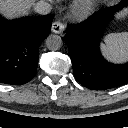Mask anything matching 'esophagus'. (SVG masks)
I'll use <instances>...</instances> for the list:
<instances>
[{"label":"esophagus","mask_w":128,"mask_h":128,"mask_svg":"<svg viewBox=\"0 0 128 128\" xmlns=\"http://www.w3.org/2000/svg\"><path fill=\"white\" fill-rule=\"evenodd\" d=\"M65 30V25L60 21H55L52 23V32L61 34Z\"/></svg>","instance_id":"34e87169"}]
</instances>
